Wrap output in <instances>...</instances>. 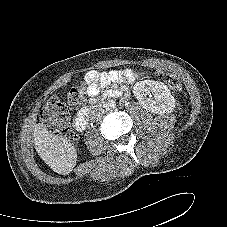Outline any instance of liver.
Listing matches in <instances>:
<instances>
[{
  "instance_id": "liver-1",
  "label": "liver",
  "mask_w": 227,
  "mask_h": 227,
  "mask_svg": "<svg viewBox=\"0 0 227 227\" xmlns=\"http://www.w3.org/2000/svg\"><path fill=\"white\" fill-rule=\"evenodd\" d=\"M34 144L40 158L54 172L67 175L76 165L75 147L67 139L50 133L42 123L35 125Z\"/></svg>"
}]
</instances>
